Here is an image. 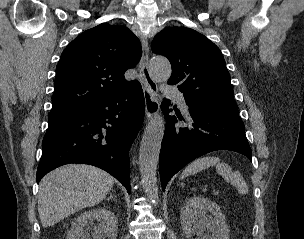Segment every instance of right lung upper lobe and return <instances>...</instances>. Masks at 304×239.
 <instances>
[{
  "label": "right lung upper lobe",
  "mask_w": 304,
  "mask_h": 239,
  "mask_svg": "<svg viewBox=\"0 0 304 239\" xmlns=\"http://www.w3.org/2000/svg\"><path fill=\"white\" fill-rule=\"evenodd\" d=\"M138 38L126 27L102 23L86 30L63 51L56 67L48 119L81 111L136 81L124 73L141 58Z\"/></svg>",
  "instance_id": "cb5924a9"
}]
</instances>
